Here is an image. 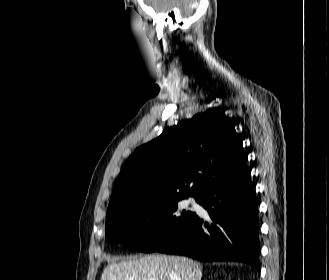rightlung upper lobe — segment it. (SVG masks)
I'll return each instance as SVG.
<instances>
[{"label":"right lung upper lobe","instance_id":"obj_1","mask_svg":"<svg viewBox=\"0 0 329 280\" xmlns=\"http://www.w3.org/2000/svg\"><path fill=\"white\" fill-rule=\"evenodd\" d=\"M242 141L221 112L208 110L179 122L127 159L108 209L147 196L199 197L247 161Z\"/></svg>","mask_w":329,"mask_h":280}]
</instances>
